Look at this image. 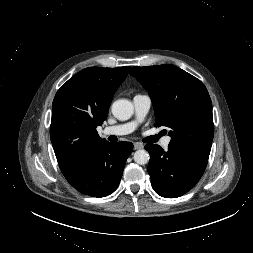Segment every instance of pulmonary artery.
Segmentation results:
<instances>
[{
    "label": "pulmonary artery",
    "instance_id": "pulmonary-artery-1",
    "mask_svg": "<svg viewBox=\"0 0 253 253\" xmlns=\"http://www.w3.org/2000/svg\"><path fill=\"white\" fill-rule=\"evenodd\" d=\"M151 104L152 101L148 95L146 94L135 95L133 97L135 119L127 123L104 128L101 132L102 136H110V135L120 136L133 132L137 128V126L145 119L146 115L150 110ZM170 141H171L170 137H165L162 140L161 144L164 147V149H168Z\"/></svg>",
    "mask_w": 253,
    "mask_h": 253
}]
</instances>
